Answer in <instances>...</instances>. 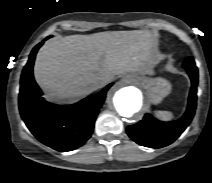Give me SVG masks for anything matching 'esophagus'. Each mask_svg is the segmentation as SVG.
Wrapping results in <instances>:
<instances>
[{
    "mask_svg": "<svg viewBox=\"0 0 212 183\" xmlns=\"http://www.w3.org/2000/svg\"><path fill=\"white\" fill-rule=\"evenodd\" d=\"M122 81L129 82V81H130V78H129V77H124V78L122 79Z\"/></svg>",
    "mask_w": 212,
    "mask_h": 183,
    "instance_id": "esophagus-1",
    "label": "esophagus"
}]
</instances>
